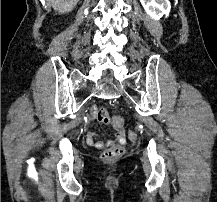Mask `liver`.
Segmentation results:
<instances>
[{"label": "liver", "instance_id": "liver-1", "mask_svg": "<svg viewBox=\"0 0 217 202\" xmlns=\"http://www.w3.org/2000/svg\"><path fill=\"white\" fill-rule=\"evenodd\" d=\"M46 2L59 14H66V12H72L79 0H46Z\"/></svg>", "mask_w": 217, "mask_h": 202}]
</instances>
